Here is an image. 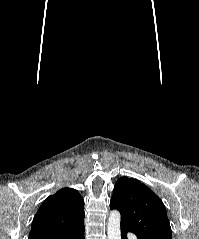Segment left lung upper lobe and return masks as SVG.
Instances as JSON below:
<instances>
[{"mask_svg": "<svg viewBox=\"0 0 199 239\" xmlns=\"http://www.w3.org/2000/svg\"><path fill=\"white\" fill-rule=\"evenodd\" d=\"M110 208L120 211L121 224L138 239H172L163 202L138 180L128 177L118 179Z\"/></svg>", "mask_w": 199, "mask_h": 239, "instance_id": "obj_1", "label": "left lung upper lobe"}]
</instances>
